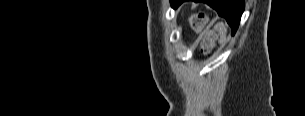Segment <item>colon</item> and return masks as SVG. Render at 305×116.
<instances>
[{
	"label": "colon",
	"mask_w": 305,
	"mask_h": 116,
	"mask_svg": "<svg viewBox=\"0 0 305 116\" xmlns=\"http://www.w3.org/2000/svg\"><path fill=\"white\" fill-rule=\"evenodd\" d=\"M190 25L192 29L196 32H199L203 29L205 23H206V17L202 14H193L190 19ZM212 44L211 39H206L203 43V51L207 52Z\"/></svg>",
	"instance_id": "1"
}]
</instances>
